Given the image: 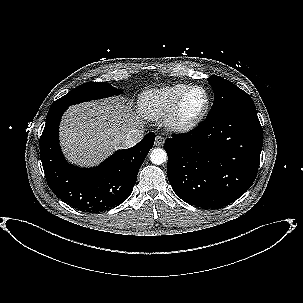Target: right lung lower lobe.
I'll list each match as a JSON object with an SVG mask.
<instances>
[{
	"instance_id": "98d812e1",
	"label": "right lung lower lobe",
	"mask_w": 303,
	"mask_h": 303,
	"mask_svg": "<svg viewBox=\"0 0 303 303\" xmlns=\"http://www.w3.org/2000/svg\"><path fill=\"white\" fill-rule=\"evenodd\" d=\"M67 108L50 107L40 137V158L49 188L83 212L98 213L121 204L133 190L155 134L150 132L132 148L115 152L98 167L79 168L65 160L59 145V121Z\"/></svg>"
}]
</instances>
